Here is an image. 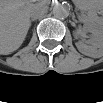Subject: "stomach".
<instances>
[{
    "instance_id": "obj_1",
    "label": "stomach",
    "mask_w": 103,
    "mask_h": 103,
    "mask_svg": "<svg viewBox=\"0 0 103 103\" xmlns=\"http://www.w3.org/2000/svg\"><path fill=\"white\" fill-rule=\"evenodd\" d=\"M79 6L83 9V10H87V11H91V3L89 1H81L79 2Z\"/></svg>"
}]
</instances>
